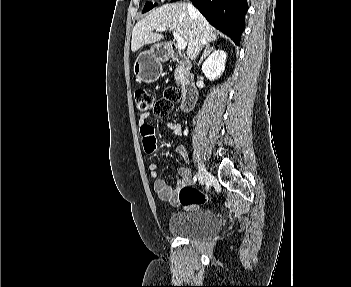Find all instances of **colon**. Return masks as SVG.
I'll use <instances>...</instances> for the list:
<instances>
[{
  "mask_svg": "<svg viewBox=\"0 0 351 287\" xmlns=\"http://www.w3.org/2000/svg\"><path fill=\"white\" fill-rule=\"evenodd\" d=\"M135 104L139 114L153 110L158 118L169 114L172 106L182 99V93L178 88H167L162 99L155 101L152 93L145 89H138L135 92ZM178 199L181 205L191 207L207 202L210 197L204 192L192 186H183L179 190Z\"/></svg>",
  "mask_w": 351,
  "mask_h": 287,
  "instance_id": "colon-1",
  "label": "colon"
}]
</instances>
